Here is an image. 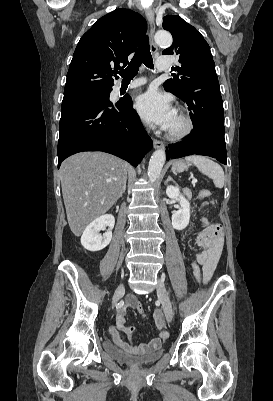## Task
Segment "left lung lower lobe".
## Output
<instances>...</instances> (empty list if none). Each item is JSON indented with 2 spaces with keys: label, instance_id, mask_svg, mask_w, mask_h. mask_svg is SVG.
Instances as JSON below:
<instances>
[{
  "label": "left lung lower lobe",
  "instance_id": "0a47b994",
  "mask_svg": "<svg viewBox=\"0 0 273 401\" xmlns=\"http://www.w3.org/2000/svg\"><path fill=\"white\" fill-rule=\"evenodd\" d=\"M190 111L194 129L183 141L169 145L167 160L191 154L207 155L226 164L224 109L220 94L189 92L182 97Z\"/></svg>",
  "mask_w": 273,
  "mask_h": 401
}]
</instances>
